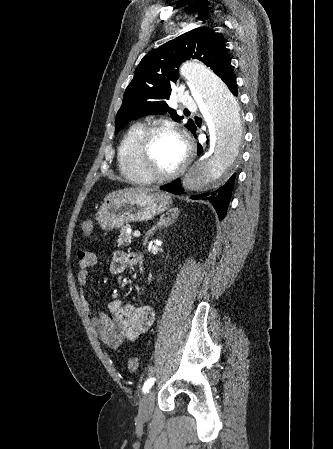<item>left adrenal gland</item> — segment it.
Returning a JSON list of instances; mask_svg holds the SVG:
<instances>
[{
  "label": "left adrenal gland",
  "mask_w": 333,
  "mask_h": 449,
  "mask_svg": "<svg viewBox=\"0 0 333 449\" xmlns=\"http://www.w3.org/2000/svg\"><path fill=\"white\" fill-rule=\"evenodd\" d=\"M179 215V209L178 208H172L169 210V213H167V217H165L164 215L161 216L159 222L156 224V226H154L152 229H150L147 234L146 237L144 239L143 244L146 245L148 242V239L150 238V236L153 235V233L155 232V230L158 229H162L165 227H168L170 224H172L175 219L178 217Z\"/></svg>",
  "instance_id": "1"
}]
</instances>
